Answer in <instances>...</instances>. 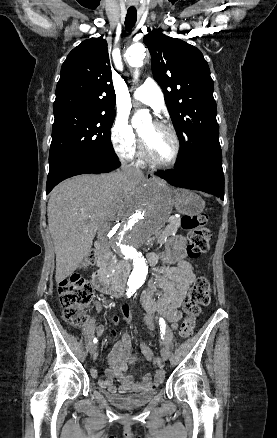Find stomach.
Listing matches in <instances>:
<instances>
[{
  "label": "stomach",
  "mask_w": 277,
  "mask_h": 438,
  "mask_svg": "<svg viewBox=\"0 0 277 438\" xmlns=\"http://www.w3.org/2000/svg\"><path fill=\"white\" fill-rule=\"evenodd\" d=\"M174 205L176 210L184 216H197L204 207V201L189 190L179 189L175 193ZM185 240L181 236H173L169 239L164 262L174 264L182 258L185 248Z\"/></svg>",
  "instance_id": "0dacf381"
}]
</instances>
